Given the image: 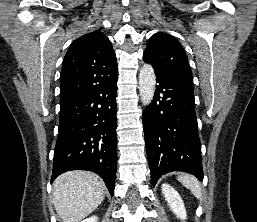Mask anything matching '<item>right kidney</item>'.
<instances>
[{
  "mask_svg": "<svg viewBox=\"0 0 257 222\" xmlns=\"http://www.w3.org/2000/svg\"><path fill=\"white\" fill-rule=\"evenodd\" d=\"M81 222H98V218L96 216H91Z\"/></svg>",
  "mask_w": 257,
  "mask_h": 222,
  "instance_id": "right-kidney-1",
  "label": "right kidney"
}]
</instances>
